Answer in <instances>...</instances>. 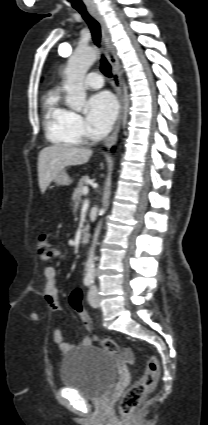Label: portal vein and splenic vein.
I'll return each mask as SVG.
<instances>
[{
	"label": "portal vein and splenic vein",
	"instance_id": "18ae733b",
	"mask_svg": "<svg viewBox=\"0 0 208 425\" xmlns=\"http://www.w3.org/2000/svg\"><path fill=\"white\" fill-rule=\"evenodd\" d=\"M82 192H83L84 195H87L88 192H89V190H88L87 187H84L83 190H82Z\"/></svg>",
	"mask_w": 208,
	"mask_h": 425
}]
</instances>
